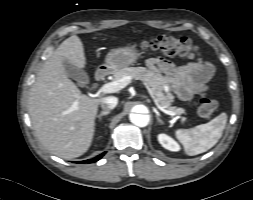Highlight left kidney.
I'll use <instances>...</instances> for the list:
<instances>
[{"mask_svg": "<svg viewBox=\"0 0 253 200\" xmlns=\"http://www.w3.org/2000/svg\"><path fill=\"white\" fill-rule=\"evenodd\" d=\"M159 143L167 150L177 152L180 150L179 144L170 136L166 134H159L158 135Z\"/></svg>", "mask_w": 253, "mask_h": 200, "instance_id": "obj_1", "label": "left kidney"}]
</instances>
